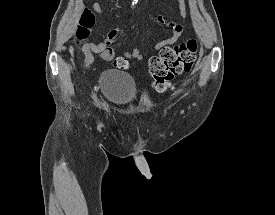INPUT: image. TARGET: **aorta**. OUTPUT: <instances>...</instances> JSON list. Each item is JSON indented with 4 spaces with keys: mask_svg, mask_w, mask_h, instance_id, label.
<instances>
[{
    "mask_svg": "<svg viewBox=\"0 0 275 215\" xmlns=\"http://www.w3.org/2000/svg\"><path fill=\"white\" fill-rule=\"evenodd\" d=\"M134 2H137L138 0H133Z\"/></svg>",
    "mask_w": 275,
    "mask_h": 215,
    "instance_id": "obj_1",
    "label": "aorta"
}]
</instances>
